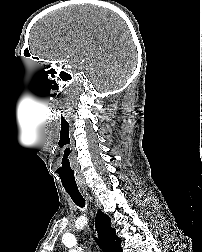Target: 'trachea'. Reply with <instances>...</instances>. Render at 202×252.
Wrapping results in <instances>:
<instances>
[{"instance_id": "trachea-1", "label": "trachea", "mask_w": 202, "mask_h": 252, "mask_svg": "<svg viewBox=\"0 0 202 252\" xmlns=\"http://www.w3.org/2000/svg\"><path fill=\"white\" fill-rule=\"evenodd\" d=\"M66 192L76 205L83 208L85 206V199L78 190V187H65Z\"/></svg>"}]
</instances>
